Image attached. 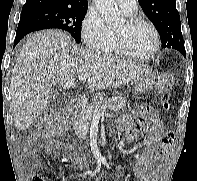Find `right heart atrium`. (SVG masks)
<instances>
[{"label":"right heart atrium","instance_id":"right-heart-atrium-1","mask_svg":"<svg viewBox=\"0 0 197 181\" xmlns=\"http://www.w3.org/2000/svg\"><path fill=\"white\" fill-rule=\"evenodd\" d=\"M81 36L89 49L102 52L111 41L112 31L105 25L97 10L90 8L81 24Z\"/></svg>","mask_w":197,"mask_h":181}]
</instances>
